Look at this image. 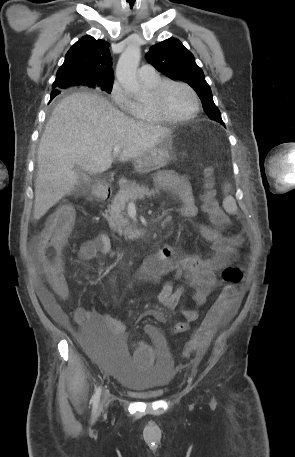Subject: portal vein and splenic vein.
<instances>
[{
  "instance_id": "portal-vein-and-splenic-vein-1",
  "label": "portal vein and splenic vein",
  "mask_w": 295,
  "mask_h": 457,
  "mask_svg": "<svg viewBox=\"0 0 295 457\" xmlns=\"http://www.w3.org/2000/svg\"><path fill=\"white\" fill-rule=\"evenodd\" d=\"M113 153H114V155H119L121 153V147L118 145H115L113 148Z\"/></svg>"
}]
</instances>
